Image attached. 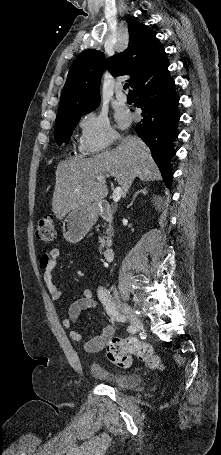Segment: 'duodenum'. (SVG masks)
<instances>
[{"label":"duodenum","instance_id":"410a0bca","mask_svg":"<svg viewBox=\"0 0 221 455\" xmlns=\"http://www.w3.org/2000/svg\"><path fill=\"white\" fill-rule=\"evenodd\" d=\"M97 213L107 222L111 223L113 221V212L111 207L108 204H101L97 207ZM114 256V248L109 244L103 251V258L106 261L112 260Z\"/></svg>","mask_w":221,"mask_h":455}]
</instances>
